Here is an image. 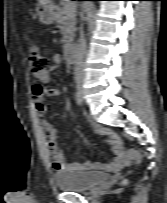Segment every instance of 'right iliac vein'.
<instances>
[{"label": "right iliac vein", "mask_w": 167, "mask_h": 203, "mask_svg": "<svg viewBox=\"0 0 167 203\" xmlns=\"http://www.w3.org/2000/svg\"><path fill=\"white\" fill-rule=\"evenodd\" d=\"M78 92L80 93V95H82V94H83V90H82V88H81V87H79V88H78Z\"/></svg>", "instance_id": "obj_1"}]
</instances>
